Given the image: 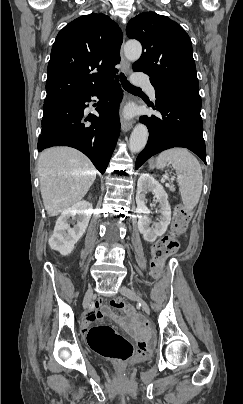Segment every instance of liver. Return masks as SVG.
<instances>
[{"label": "liver", "mask_w": 243, "mask_h": 404, "mask_svg": "<svg viewBox=\"0 0 243 404\" xmlns=\"http://www.w3.org/2000/svg\"><path fill=\"white\" fill-rule=\"evenodd\" d=\"M38 174L44 208L49 216H58L83 200L97 170L74 148H49L38 158Z\"/></svg>", "instance_id": "6515ba94"}]
</instances>
